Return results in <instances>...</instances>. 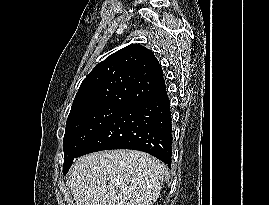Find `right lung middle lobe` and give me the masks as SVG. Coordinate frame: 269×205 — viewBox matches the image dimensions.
Wrapping results in <instances>:
<instances>
[{"instance_id": "right-lung-middle-lobe-1", "label": "right lung middle lobe", "mask_w": 269, "mask_h": 205, "mask_svg": "<svg viewBox=\"0 0 269 205\" xmlns=\"http://www.w3.org/2000/svg\"><path fill=\"white\" fill-rule=\"evenodd\" d=\"M127 107L122 104L103 103L83 106L70 112L63 139L64 175L71 167L74 158L90 139Z\"/></svg>"}]
</instances>
